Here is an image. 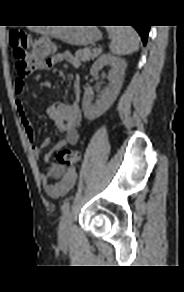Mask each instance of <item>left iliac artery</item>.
<instances>
[{
    "label": "left iliac artery",
    "mask_w": 184,
    "mask_h": 292,
    "mask_svg": "<svg viewBox=\"0 0 184 292\" xmlns=\"http://www.w3.org/2000/svg\"><path fill=\"white\" fill-rule=\"evenodd\" d=\"M70 209V203L69 202H65L62 206V211L64 214H67L69 212Z\"/></svg>",
    "instance_id": "44dca946"
}]
</instances>
